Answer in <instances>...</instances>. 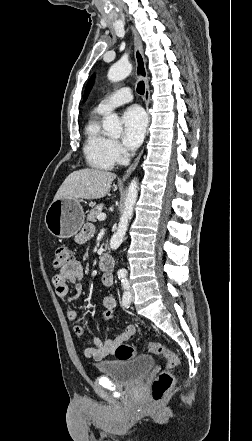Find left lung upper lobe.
Masks as SVG:
<instances>
[{
    "label": "left lung upper lobe",
    "instance_id": "left-lung-upper-lobe-1",
    "mask_svg": "<svg viewBox=\"0 0 252 441\" xmlns=\"http://www.w3.org/2000/svg\"><path fill=\"white\" fill-rule=\"evenodd\" d=\"M94 83V75L90 78V80L88 81L86 88H85V92H84V97H83V102L86 101L88 94L93 86Z\"/></svg>",
    "mask_w": 252,
    "mask_h": 441
}]
</instances>
